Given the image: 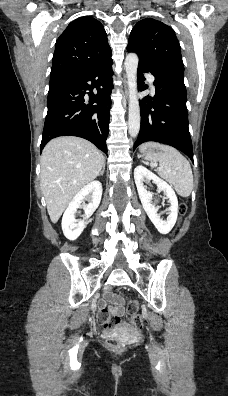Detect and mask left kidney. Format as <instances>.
I'll list each match as a JSON object with an SVG mask.
<instances>
[{"label": "left kidney", "mask_w": 228, "mask_h": 396, "mask_svg": "<svg viewBox=\"0 0 228 396\" xmlns=\"http://www.w3.org/2000/svg\"><path fill=\"white\" fill-rule=\"evenodd\" d=\"M134 179L142 206L148 217L161 234L169 233L175 225L178 216V200L174 190L164 180L160 179L142 165L135 168ZM150 180L157 185L158 193L163 191L169 199L171 206L168 209L169 215L166 220L161 218L160 214H158V207L152 202L154 194L148 191L147 187L144 185V182Z\"/></svg>", "instance_id": "obj_1"}]
</instances>
